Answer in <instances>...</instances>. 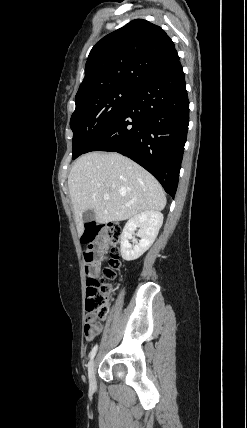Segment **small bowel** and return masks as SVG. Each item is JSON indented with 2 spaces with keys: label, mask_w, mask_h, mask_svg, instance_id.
<instances>
[{
  "label": "small bowel",
  "mask_w": 247,
  "mask_h": 428,
  "mask_svg": "<svg viewBox=\"0 0 247 428\" xmlns=\"http://www.w3.org/2000/svg\"><path fill=\"white\" fill-rule=\"evenodd\" d=\"M98 273H99V266L98 265H94L93 266V270H92V272H91V275H93V276H97L98 275ZM102 331V325H101V323H97V327H96V331L93 333V334H91V335H85V337H86V339L87 340H93L94 339V337L96 336V335H98L100 332Z\"/></svg>",
  "instance_id": "c3829d8e"
}]
</instances>
